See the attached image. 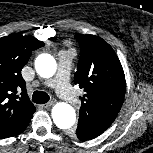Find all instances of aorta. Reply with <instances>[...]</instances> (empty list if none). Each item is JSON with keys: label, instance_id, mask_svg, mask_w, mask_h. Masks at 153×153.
<instances>
[{"label": "aorta", "instance_id": "1", "mask_svg": "<svg viewBox=\"0 0 153 153\" xmlns=\"http://www.w3.org/2000/svg\"><path fill=\"white\" fill-rule=\"evenodd\" d=\"M56 68V61L49 54H40L35 60L36 72L41 77L49 78L53 76ZM52 118L58 128L69 129L74 125L76 120L75 110L67 103H57L52 108Z\"/></svg>", "mask_w": 153, "mask_h": 153}]
</instances>
